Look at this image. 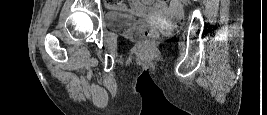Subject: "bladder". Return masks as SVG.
<instances>
[{"instance_id": "31cf9c89", "label": "bladder", "mask_w": 267, "mask_h": 115, "mask_svg": "<svg viewBox=\"0 0 267 115\" xmlns=\"http://www.w3.org/2000/svg\"><path fill=\"white\" fill-rule=\"evenodd\" d=\"M106 25L111 29H124L136 26L141 22L139 16L109 13L105 18Z\"/></svg>"}]
</instances>
